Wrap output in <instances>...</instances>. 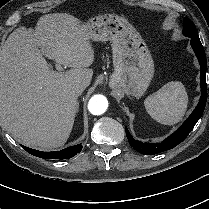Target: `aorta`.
<instances>
[{
  "mask_svg": "<svg viewBox=\"0 0 209 209\" xmlns=\"http://www.w3.org/2000/svg\"><path fill=\"white\" fill-rule=\"evenodd\" d=\"M108 107V100L105 96L97 94L91 97L88 103L89 112L93 115L103 114Z\"/></svg>",
  "mask_w": 209,
  "mask_h": 209,
  "instance_id": "aorta-1",
  "label": "aorta"
}]
</instances>
